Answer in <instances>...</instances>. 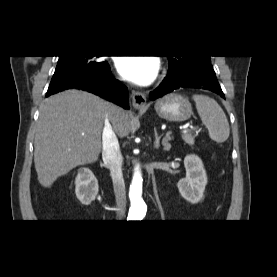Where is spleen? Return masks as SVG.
<instances>
[{
	"instance_id": "3e777b00",
	"label": "spleen",
	"mask_w": 277,
	"mask_h": 277,
	"mask_svg": "<svg viewBox=\"0 0 277 277\" xmlns=\"http://www.w3.org/2000/svg\"><path fill=\"white\" fill-rule=\"evenodd\" d=\"M198 114L208 129L210 138L217 142H225L230 134L229 123L220 105L205 95H193Z\"/></svg>"
}]
</instances>
